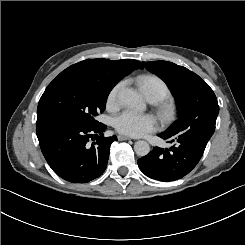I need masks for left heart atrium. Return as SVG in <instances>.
<instances>
[{
	"mask_svg": "<svg viewBox=\"0 0 245 245\" xmlns=\"http://www.w3.org/2000/svg\"><path fill=\"white\" fill-rule=\"evenodd\" d=\"M115 127L122 134L139 137L156 130L158 122L150 114L126 110L116 117Z\"/></svg>",
	"mask_w": 245,
	"mask_h": 245,
	"instance_id": "left-heart-atrium-1",
	"label": "left heart atrium"
}]
</instances>
